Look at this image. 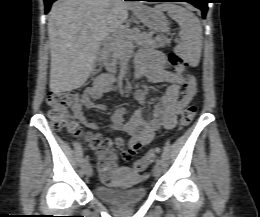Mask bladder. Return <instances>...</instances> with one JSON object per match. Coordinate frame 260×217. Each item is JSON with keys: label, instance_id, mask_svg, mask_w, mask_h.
<instances>
[{"label": "bladder", "instance_id": "obj_1", "mask_svg": "<svg viewBox=\"0 0 260 217\" xmlns=\"http://www.w3.org/2000/svg\"><path fill=\"white\" fill-rule=\"evenodd\" d=\"M141 176L129 167L115 170L107 185H98L95 193L99 199L115 206H128L144 201L147 189L140 184Z\"/></svg>", "mask_w": 260, "mask_h": 217}]
</instances>
